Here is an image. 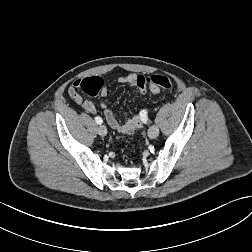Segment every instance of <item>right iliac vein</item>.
<instances>
[{
  "label": "right iliac vein",
  "mask_w": 252,
  "mask_h": 252,
  "mask_svg": "<svg viewBox=\"0 0 252 252\" xmlns=\"http://www.w3.org/2000/svg\"><path fill=\"white\" fill-rule=\"evenodd\" d=\"M98 134H99L100 136H106V134H107V129H106V127H105V126H100V127L98 128Z\"/></svg>",
  "instance_id": "63e3f726"
}]
</instances>
